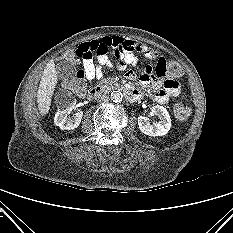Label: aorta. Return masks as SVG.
Returning a JSON list of instances; mask_svg holds the SVG:
<instances>
[{
    "label": "aorta",
    "instance_id": "obj_1",
    "mask_svg": "<svg viewBox=\"0 0 233 233\" xmlns=\"http://www.w3.org/2000/svg\"><path fill=\"white\" fill-rule=\"evenodd\" d=\"M110 98L114 103H120L123 99V94L120 91H112Z\"/></svg>",
    "mask_w": 233,
    "mask_h": 233
}]
</instances>
